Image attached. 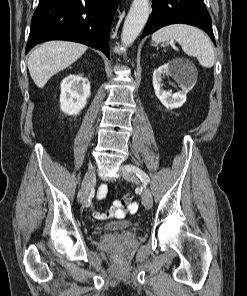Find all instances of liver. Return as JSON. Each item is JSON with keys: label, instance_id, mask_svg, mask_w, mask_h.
Listing matches in <instances>:
<instances>
[{"label": "liver", "instance_id": "obj_1", "mask_svg": "<svg viewBox=\"0 0 247 296\" xmlns=\"http://www.w3.org/2000/svg\"><path fill=\"white\" fill-rule=\"evenodd\" d=\"M86 50V45L69 41L43 43L28 58V69L34 83L43 88L53 75L75 62Z\"/></svg>", "mask_w": 247, "mask_h": 296}]
</instances>
